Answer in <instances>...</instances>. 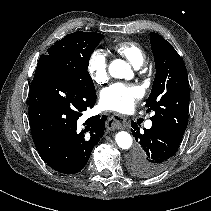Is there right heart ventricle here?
<instances>
[{"mask_svg": "<svg viewBox=\"0 0 211 211\" xmlns=\"http://www.w3.org/2000/svg\"><path fill=\"white\" fill-rule=\"evenodd\" d=\"M114 50L125 57L135 67L141 66L145 60L144 50L132 41L119 42L114 45Z\"/></svg>", "mask_w": 211, "mask_h": 211, "instance_id": "1", "label": "right heart ventricle"}]
</instances>
